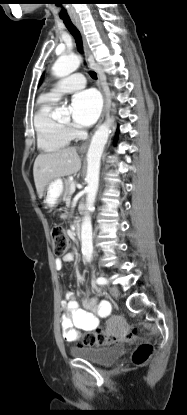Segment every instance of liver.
<instances>
[{
    "instance_id": "liver-1",
    "label": "liver",
    "mask_w": 187,
    "mask_h": 415,
    "mask_svg": "<svg viewBox=\"0 0 187 415\" xmlns=\"http://www.w3.org/2000/svg\"><path fill=\"white\" fill-rule=\"evenodd\" d=\"M81 168V160L75 147H69L52 153H41L33 166V176L39 198L47 184L56 178L76 173Z\"/></svg>"
}]
</instances>
